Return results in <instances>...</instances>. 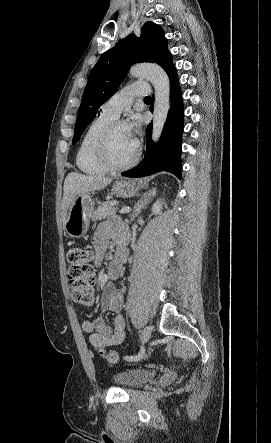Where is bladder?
<instances>
[{
  "label": "bladder",
  "instance_id": "obj_1",
  "mask_svg": "<svg viewBox=\"0 0 271 443\" xmlns=\"http://www.w3.org/2000/svg\"><path fill=\"white\" fill-rule=\"evenodd\" d=\"M153 372L147 369H129L113 375L116 386L124 389L136 388L148 382L153 377Z\"/></svg>",
  "mask_w": 271,
  "mask_h": 443
}]
</instances>
